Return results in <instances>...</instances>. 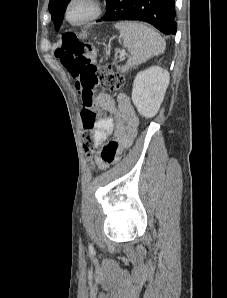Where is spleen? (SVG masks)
<instances>
[{"label": "spleen", "mask_w": 227, "mask_h": 298, "mask_svg": "<svg viewBox=\"0 0 227 298\" xmlns=\"http://www.w3.org/2000/svg\"><path fill=\"white\" fill-rule=\"evenodd\" d=\"M115 28L120 32L124 47L130 52L127 64L121 67L122 72L141 65L165 50L166 42L161 35L142 23L118 22Z\"/></svg>", "instance_id": "spleen-1"}]
</instances>
